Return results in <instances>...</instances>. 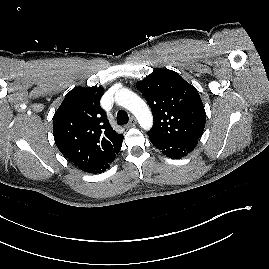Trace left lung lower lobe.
<instances>
[{"instance_id":"1","label":"left lung lower lobe","mask_w":269,"mask_h":269,"mask_svg":"<svg viewBox=\"0 0 269 269\" xmlns=\"http://www.w3.org/2000/svg\"><path fill=\"white\" fill-rule=\"evenodd\" d=\"M151 143L162 151L164 155L172 159H180L190 153L198 141H168L155 139L149 136Z\"/></svg>"}]
</instances>
